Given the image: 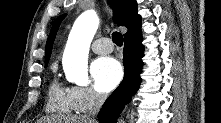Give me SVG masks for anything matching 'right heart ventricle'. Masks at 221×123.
<instances>
[{"label": "right heart ventricle", "instance_id": "e07e8e85", "mask_svg": "<svg viewBox=\"0 0 221 123\" xmlns=\"http://www.w3.org/2000/svg\"><path fill=\"white\" fill-rule=\"evenodd\" d=\"M47 111L57 114H70L76 111L71 99L70 88L64 87L58 80L51 81L48 89Z\"/></svg>", "mask_w": 221, "mask_h": 123}]
</instances>
